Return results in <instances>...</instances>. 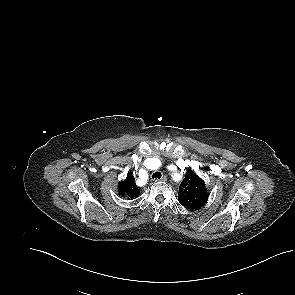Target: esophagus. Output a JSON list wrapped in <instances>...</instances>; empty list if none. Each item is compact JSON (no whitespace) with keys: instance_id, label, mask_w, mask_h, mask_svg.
Masks as SVG:
<instances>
[{"instance_id":"34e87169","label":"esophagus","mask_w":295,"mask_h":295,"mask_svg":"<svg viewBox=\"0 0 295 295\" xmlns=\"http://www.w3.org/2000/svg\"><path fill=\"white\" fill-rule=\"evenodd\" d=\"M167 180V178L165 176H162L160 179H156V181H162L165 182Z\"/></svg>"}]
</instances>
